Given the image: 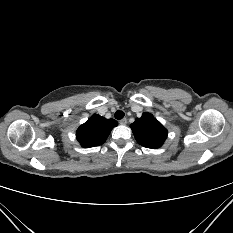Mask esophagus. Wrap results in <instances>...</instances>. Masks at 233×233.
Listing matches in <instances>:
<instances>
[{"label":"esophagus","instance_id":"1","mask_svg":"<svg viewBox=\"0 0 233 233\" xmlns=\"http://www.w3.org/2000/svg\"><path fill=\"white\" fill-rule=\"evenodd\" d=\"M119 123H120L121 125H126V124H127V119H126V118H123V119H121V120L119 121Z\"/></svg>","mask_w":233,"mask_h":233}]
</instances>
